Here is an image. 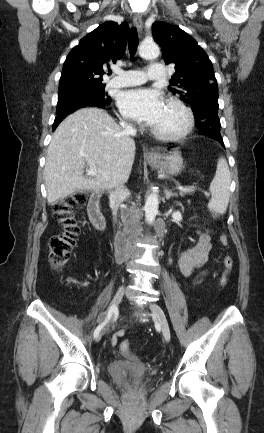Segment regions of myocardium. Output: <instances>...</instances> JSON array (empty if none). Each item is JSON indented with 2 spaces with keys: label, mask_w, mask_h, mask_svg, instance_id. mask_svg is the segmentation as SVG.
Returning <instances> with one entry per match:
<instances>
[{
  "label": "myocardium",
  "mask_w": 264,
  "mask_h": 433,
  "mask_svg": "<svg viewBox=\"0 0 264 433\" xmlns=\"http://www.w3.org/2000/svg\"><path fill=\"white\" fill-rule=\"evenodd\" d=\"M167 105L173 106L179 109L184 117V125L175 132H163L155 128H151V133L158 139L163 141H178L185 138L193 129L195 124L194 113L190 107H188L184 102L176 98H169L166 102Z\"/></svg>",
  "instance_id": "myocardium-1"
}]
</instances>
